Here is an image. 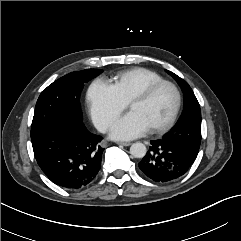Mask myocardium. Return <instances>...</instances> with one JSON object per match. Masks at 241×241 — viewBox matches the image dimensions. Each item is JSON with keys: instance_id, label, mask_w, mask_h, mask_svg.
Masks as SVG:
<instances>
[{"instance_id": "myocardium-1", "label": "myocardium", "mask_w": 241, "mask_h": 241, "mask_svg": "<svg viewBox=\"0 0 241 241\" xmlns=\"http://www.w3.org/2000/svg\"><path fill=\"white\" fill-rule=\"evenodd\" d=\"M164 86H168L170 87L175 94V107L174 110L170 116V118L168 119V121L162 125L159 126H155L152 127L151 130L155 133H163L168 131L169 129H171L173 127V125L175 124L179 113H180V109H181V105H182V96H181V92L179 90V88L172 82L167 81V80H162V81H158L155 83H152L150 85H148L147 87H145L144 89H142L140 92H138L137 94H135L130 101L128 102V106L130 108V106L137 101H146L148 100L159 88L164 87Z\"/></svg>"}]
</instances>
